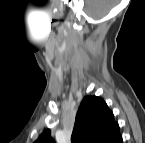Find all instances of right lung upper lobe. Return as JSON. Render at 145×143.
<instances>
[{"mask_svg":"<svg viewBox=\"0 0 145 143\" xmlns=\"http://www.w3.org/2000/svg\"><path fill=\"white\" fill-rule=\"evenodd\" d=\"M72 143H122L118 123L104 100L86 96L77 112ZM36 143H54L50 130H45Z\"/></svg>","mask_w":145,"mask_h":143,"instance_id":"1","label":"right lung upper lobe"}]
</instances>
